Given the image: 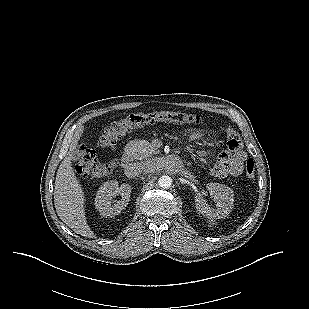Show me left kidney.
<instances>
[{
	"mask_svg": "<svg viewBox=\"0 0 309 309\" xmlns=\"http://www.w3.org/2000/svg\"><path fill=\"white\" fill-rule=\"evenodd\" d=\"M206 188L213 195L216 207L211 208L201 194H197L195 197L197 212L210 220L226 218L234 206L233 190L219 183H208Z\"/></svg>",
	"mask_w": 309,
	"mask_h": 309,
	"instance_id": "5707ae66",
	"label": "left kidney"
}]
</instances>
